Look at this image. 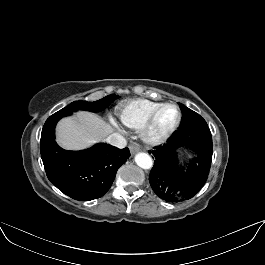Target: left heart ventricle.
I'll use <instances>...</instances> for the list:
<instances>
[{"mask_svg":"<svg viewBox=\"0 0 265 265\" xmlns=\"http://www.w3.org/2000/svg\"><path fill=\"white\" fill-rule=\"evenodd\" d=\"M177 118V111L172 106L164 107L156 117L153 133L160 134L170 128Z\"/></svg>","mask_w":265,"mask_h":265,"instance_id":"obj_1","label":"left heart ventricle"}]
</instances>
